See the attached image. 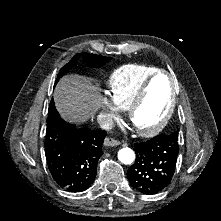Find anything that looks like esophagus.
I'll use <instances>...</instances> for the list:
<instances>
[{"instance_id": "1", "label": "esophagus", "mask_w": 221, "mask_h": 221, "mask_svg": "<svg viewBox=\"0 0 221 221\" xmlns=\"http://www.w3.org/2000/svg\"><path fill=\"white\" fill-rule=\"evenodd\" d=\"M104 145L105 146H118L120 145V142L118 140L108 137L104 139Z\"/></svg>"}]
</instances>
